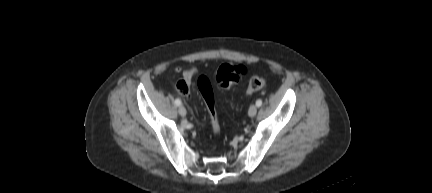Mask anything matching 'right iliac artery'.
<instances>
[{
    "mask_svg": "<svg viewBox=\"0 0 432 193\" xmlns=\"http://www.w3.org/2000/svg\"><path fill=\"white\" fill-rule=\"evenodd\" d=\"M175 104H176L177 106H180V105H181V100L177 98V99L175 100Z\"/></svg>",
    "mask_w": 432,
    "mask_h": 193,
    "instance_id": "right-iliac-artery-1",
    "label": "right iliac artery"
}]
</instances>
